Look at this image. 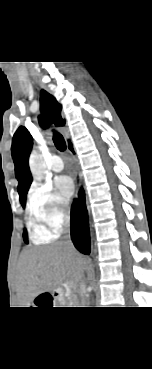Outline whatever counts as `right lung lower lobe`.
<instances>
[{
  "mask_svg": "<svg viewBox=\"0 0 152 369\" xmlns=\"http://www.w3.org/2000/svg\"><path fill=\"white\" fill-rule=\"evenodd\" d=\"M69 149L72 145L69 144ZM71 238L75 247L83 254L90 253V236L88 229V216L83 190L79 192V198L74 200L71 208Z\"/></svg>",
  "mask_w": 152,
  "mask_h": 369,
  "instance_id": "1",
  "label": "right lung lower lobe"
}]
</instances>
